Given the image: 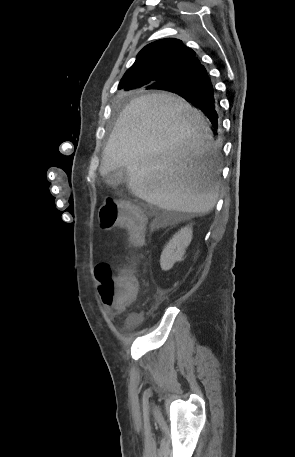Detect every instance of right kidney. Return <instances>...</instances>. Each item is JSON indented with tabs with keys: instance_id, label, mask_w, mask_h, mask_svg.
<instances>
[{
	"instance_id": "ca27d5eb",
	"label": "right kidney",
	"mask_w": 295,
	"mask_h": 457,
	"mask_svg": "<svg viewBox=\"0 0 295 457\" xmlns=\"http://www.w3.org/2000/svg\"><path fill=\"white\" fill-rule=\"evenodd\" d=\"M191 239L192 228L190 226L181 229L173 236L161 254L160 265L163 270H169L175 262L182 260Z\"/></svg>"
}]
</instances>
